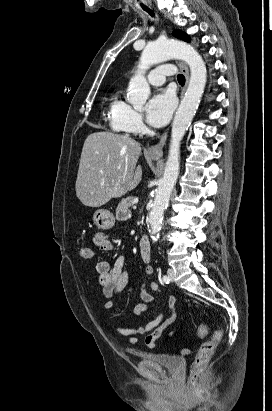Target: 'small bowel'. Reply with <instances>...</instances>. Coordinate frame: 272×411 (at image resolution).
Segmentation results:
<instances>
[{
	"label": "small bowel",
	"instance_id": "1",
	"mask_svg": "<svg viewBox=\"0 0 272 411\" xmlns=\"http://www.w3.org/2000/svg\"><path fill=\"white\" fill-rule=\"evenodd\" d=\"M93 244L97 248L106 252H112L115 249L113 242L103 233H97L93 236ZM96 271L99 284L103 287V295L108 299L104 304V309L106 314L110 316L114 308L111 299L123 291L129 283V275L125 269V257L119 256L113 265L106 260H98L96 262ZM153 271V266L151 264L145 265L144 272L147 277H150L153 274ZM147 288L152 292L165 297L170 310V315L166 317L165 313L161 312L146 324L135 327H123L113 324L112 328L115 332L125 337L131 345H138V336L147 334L145 338L146 346L150 349H155L159 338L167 328L178 319L179 314L176 308L175 297L172 294H165L156 282L146 279L141 284L140 298L143 302L135 307L136 315H142L147 312L149 304L155 301V297ZM176 334V331L169 332V336H174Z\"/></svg>",
	"mask_w": 272,
	"mask_h": 411
}]
</instances>
